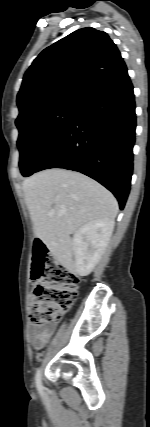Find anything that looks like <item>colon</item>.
<instances>
[{"label": "colon", "instance_id": "obj_1", "mask_svg": "<svg viewBox=\"0 0 150 427\" xmlns=\"http://www.w3.org/2000/svg\"><path fill=\"white\" fill-rule=\"evenodd\" d=\"M32 276L37 284L29 294V318L35 326L56 324L74 302L79 277L59 263L39 239L33 243Z\"/></svg>", "mask_w": 150, "mask_h": 427}]
</instances>
